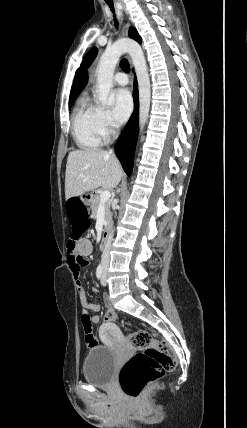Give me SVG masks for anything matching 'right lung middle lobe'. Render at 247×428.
I'll return each instance as SVG.
<instances>
[{
    "instance_id": "1",
    "label": "right lung middle lobe",
    "mask_w": 247,
    "mask_h": 428,
    "mask_svg": "<svg viewBox=\"0 0 247 428\" xmlns=\"http://www.w3.org/2000/svg\"><path fill=\"white\" fill-rule=\"evenodd\" d=\"M73 104H69V107H71Z\"/></svg>"
}]
</instances>
